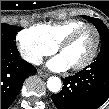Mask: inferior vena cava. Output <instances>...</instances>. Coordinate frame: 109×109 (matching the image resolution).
Instances as JSON below:
<instances>
[{
  "mask_svg": "<svg viewBox=\"0 0 109 109\" xmlns=\"http://www.w3.org/2000/svg\"><path fill=\"white\" fill-rule=\"evenodd\" d=\"M31 62L35 65H40V64H42V57L41 56H34L31 59Z\"/></svg>",
  "mask_w": 109,
  "mask_h": 109,
  "instance_id": "602c4592",
  "label": "inferior vena cava"
}]
</instances>
